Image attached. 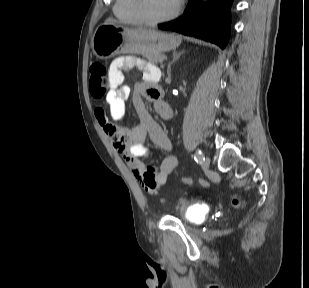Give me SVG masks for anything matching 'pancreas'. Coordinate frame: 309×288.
Returning a JSON list of instances; mask_svg holds the SVG:
<instances>
[{"instance_id":"obj_1","label":"pancreas","mask_w":309,"mask_h":288,"mask_svg":"<svg viewBox=\"0 0 309 288\" xmlns=\"http://www.w3.org/2000/svg\"><path fill=\"white\" fill-rule=\"evenodd\" d=\"M146 58L150 63L157 64L163 62L165 55L163 54L147 55Z\"/></svg>"}]
</instances>
